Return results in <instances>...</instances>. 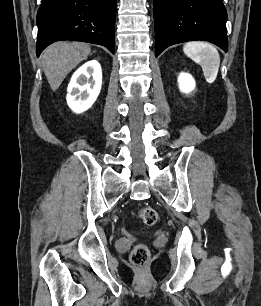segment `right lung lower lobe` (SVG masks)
I'll list each match as a JSON object with an SVG mask.
<instances>
[{
  "instance_id": "obj_1",
  "label": "right lung lower lobe",
  "mask_w": 261,
  "mask_h": 306,
  "mask_svg": "<svg viewBox=\"0 0 261 306\" xmlns=\"http://www.w3.org/2000/svg\"><path fill=\"white\" fill-rule=\"evenodd\" d=\"M116 0H42L36 54L60 40L84 41L114 53Z\"/></svg>"
}]
</instances>
